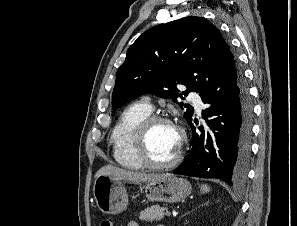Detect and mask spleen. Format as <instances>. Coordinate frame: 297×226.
I'll use <instances>...</instances> for the list:
<instances>
[{"mask_svg": "<svg viewBox=\"0 0 297 226\" xmlns=\"http://www.w3.org/2000/svg\"><path fill=\"white\" fill-rule=\"evenodd\" d=\"M201 193H207L210 191V187L207 186L206 184L201 185V189H200Z\"/></svg>", "mask_w": 297, "mask_h": 226, "instance_id": "spleen-1", "label": "spleen"}]
</instances>
